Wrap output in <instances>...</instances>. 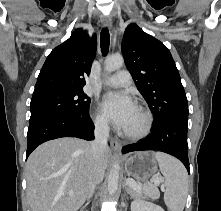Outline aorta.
Wrapping results in <instances>:
<instances>
[{"mask_svg": "<svg viewBox=\"0 0 221 211\" xmlns=\"http://www.w3.org/2000/svg\"><path fill=\"white\" fill-rule=\"evenodd\" d=\"M123 64H124V59L121 56L108 57L105 60V70L107 73H111L122 67ZM119 169H120L119 163L114 162L108 176V192L110 195H114V193L118 189Z\"/></svg>", "mask_w": 221, "mask_h": 211, "instance_id": "1", "label": "aorta"}]
</instances>
